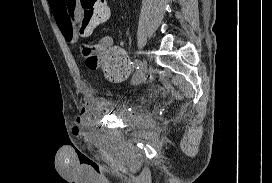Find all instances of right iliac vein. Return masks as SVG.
Returning <instances> with one entry per match:
<instances>
[{"label": "right iliac vein", "mask_w": 272, "mask_h": 183, "mask_svg": "<svg viewBox=\"0 0 272 183\" xmlns=\"http://www.w3.org/2000/svg\"><path fill=\"white\" fill-rule=\"evenodd\" d=\"M140 70L142 71V74L140 75L139 78H136L133 82L134 84H139L142 82V80L144 79V76H145V73H146V70H147V63L145 60H143L141 66H140Z\"/></svg>", "instance_id": "right-iliac-vein-1"}]
</instances>
